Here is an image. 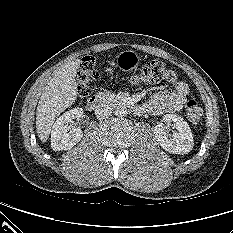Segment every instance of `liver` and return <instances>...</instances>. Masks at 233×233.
<instances>
[{
  "label": "liver",
  "mask_w": 233,
  "mask_h": 233,
  "mask_svg": "<svg viewBox=\"0 0 233 233\" xmlns=\"http://www.w3.org/2000/svg\"><path fill=\"white\" fill-rule=\"evenodd\" d=\"M80 62L76 59L56 70L43 89L36 113V132L42 142L48 139L55 119L76 100L75 77Z\"/></svg>",
  "instance_id": "6515ba94"
}]
</instances>
